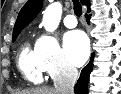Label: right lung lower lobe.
<instances>
[{"mask_svg": "<svg viewBox=\"0 0 121 94\" xmlns=\"http://www.w3.org/2000/svg\"><path fill=\"white\" fill-rule=\"evenodd\" d=\"M89 11H90V8L88 9V12ZM90 17H91V14L86 15L87 23L90 22ZM93 58H94V54L92 55L90 62L82 69L80 78L78 79L74 88L75 94H87L88 79L93 68Z\"/></svg>", "mask_w": 121, "mask_h": 94, "instance_id": "obj_1", "label": "right lung lower lobe"}]
</instances>
